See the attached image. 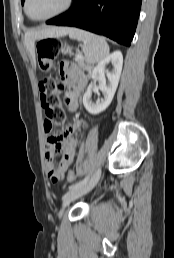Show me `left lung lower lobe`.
Instances as JSON below:
<instances>
[{
  "label": "left lung lower lobe",
  "mask_w": 174,
  "mask_h": 258,
  "mask_svg": "<svg viewBox=\"0 0 174 258\" xmlns=\"http://www.w3.org/2000/svg\"><path fill=\"white\" fill-rule=\"evenodd\" d=\"M142 0H74L73 6L49 25L73 26L130 46Z\"/></svg>",
  "instance_id": "1"
}]
</instances>
